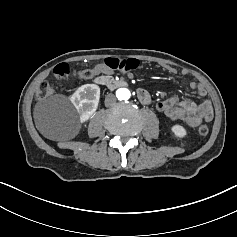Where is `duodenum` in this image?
I'll list each match as a JSON object with an SVG mask.
<instances>
[{"mask_svg":"<svg viewBox=\"0 0 237 237\" xmlns=\"http://www.w3.org/2000/svg\"><path fill=\"white\" fill-rule=\"evenodd\" d=\"M94 82L99 86L107 87L110 89L127 86L126 81L120 80V79H114V78L107 76V75L96 76L94 79Z\"/></svg>","mask_w":237,"mask_h":237,"instance_id":"obj_1","label":"duodenum"}]
</instances>
